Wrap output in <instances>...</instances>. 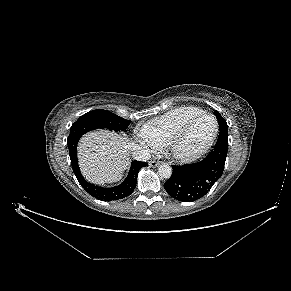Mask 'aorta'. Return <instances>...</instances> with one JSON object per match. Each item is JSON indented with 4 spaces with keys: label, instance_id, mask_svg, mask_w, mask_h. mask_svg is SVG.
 I'll return each instance as SVG.
<instances>
[{
    "label": "aorta",
    "instance_id": "obj_1",
    "mask_svg": "<svg viewBox=\"0 0 291 291\" xmlns=\"http://www.w3.org/2000/svg\"><path fill=\"white\" fill-rule=\"evenodd\" d=\"M158 173L161 178L168 179L172 175V168L167 164L160 165Z\"/></svg>",
    "mask_w": 291,
    "mask_h": 291
}]
</instances>
